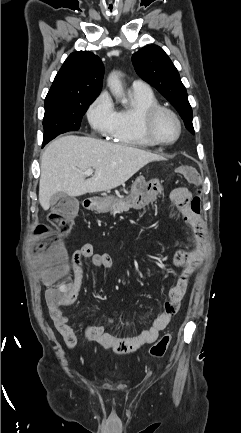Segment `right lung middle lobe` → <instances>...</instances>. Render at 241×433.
Segmentation results:
<instances>
[{
  "label": "right lung middle lobe",
  "mask_w": 241,
  "mask_h": 433,
  "mask_svg": "<svg viewBox=\"0 0 241 433\" xmlns=\"http://www.w3.org/2000/svg\"><path fill=\"white\" fill-rule=\"evenodd\" d=\"M95 99L51 100L45 102L43 145L61 133L77 131L82 116Z\"/></svg>",
  "instance_id": "1"
}]
</instances>
